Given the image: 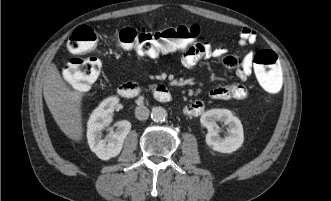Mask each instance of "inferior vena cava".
<instances>
[{
    "mask_svg": "<svg viewBox=\"0 0 331 201\" xmlns=\"http://www.w3.org/2000/svg\"><path fill=\"white\" fill-rule=\"evenodd\" d=\"M150 111L145 106H138L135 109V117L138 120H146L149 117Z\"/></svg>",
    "mask_w": 331,
    "mask_h": 201,
    "instance_id": "obj_1",
    "label": "inferior vena cava"
}]
</instances>
